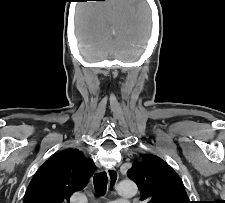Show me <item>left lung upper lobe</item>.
Segmentation results:
<instances>
[{"label": "left lung upper lobe", "instance_id": "1", "mask_svg": "<svg viewBox=\"0 0 225 203\" xmlns=\"http://www.w3.org/2000/svg\"><path fill=\"white\" fill-rule=\"evenodd\" d=\"M147 203H191L177 173L155 155H145L141 163L128 170Z\"/></svg>", "mask_w": 225, "mask_h": 203}]
</instances>
